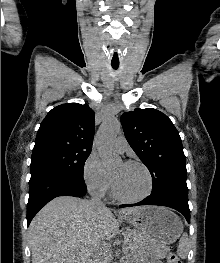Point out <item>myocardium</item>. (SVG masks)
Listing matches in <instances>:
<instances>
[{
  "label": "myocardium",
  "instance_id": "myocardium-1",
  "mask_svg": "<svg viewBox=\"0 0 220 263\" xmlns=\"http://www.w3.org/2000/svg\"><path fill=\"white\" fill-rule=\"evenodd\" d=\"M125 164L127 165H137V166H140L146 173L147 177H148V189L147 191L139 196V197H135V198H128V197H125L123 195H121L117 188H116V184H115V180H114V177L113 175L111 174V189H112V194L113 196L118 199L119 201H122L124 203H138V202H141L143 200H145L146 198H148L152 191H153V187H154V179H153V175L150 171V169L141 161H138V160H128V161H125L124 162Z\"/></svg>",
  "mask_w": 220,
  "mask_h": 263
}]
</instances>
